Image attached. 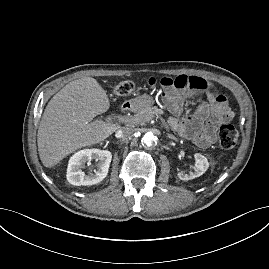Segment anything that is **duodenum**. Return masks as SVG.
<instances>
[{
  "instance_id": "duodenum-1",
  "label": "duodenum",
  "mask_w": 269,
  "mask_h": 269,
  "mask_svg": "<svg viewBox=\"0 0 269 269\" xmlns=\"http://www.w3.org/2000/svg\"><path fill=\"white\" fill-rule=\"evenodd\" d=\"M134 107V104L131 103V102H125L123 105H122V111H129L131 110L132 108Z\"/></svg>"
}]
</instances>
